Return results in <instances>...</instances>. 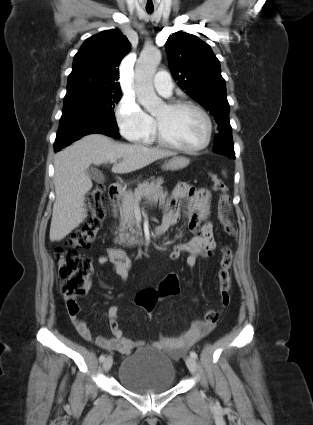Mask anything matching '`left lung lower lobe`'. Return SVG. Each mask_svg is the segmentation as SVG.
Masks as SVG:
<instances>
[{"instance_id":"left-lung-lower-lobe-1","label":"left lung lower lobe","mask_w":313,"mask_h":425,"mask_svg":"<svg viewBox=\"0 0 313 425\" xmlns=\"http://www.w3.org/2000/svg\"><path fill=\"white\" fill-rule=\"evenodd\" d=\"M231 141H233L231 132L219 133L215 139V146H214L215 152L218 153V150L220 147L225 146L228 142H231ZM231 156L235 157V153L232 154Z\"/></svg>"}]
</instances>
